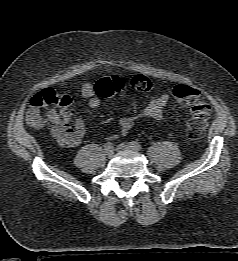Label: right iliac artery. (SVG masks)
<instances>
[{
	"label": "right iliac artery",
	"instance_id": "82829eb1",
	"mask_svg": "<svg viewBox=\"0 0 238 261\" xmlns=\"http://www.w3.org/2000/svg\"><path fill=\"white\" fill-rule=\"evenodd\" d=\"M104 147L109 150L110 148H113V144L111 142H107Z\"/></svg>",
	"mask_w": 238,
	"mask_h": 261
}]
</instances>
